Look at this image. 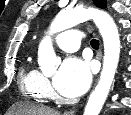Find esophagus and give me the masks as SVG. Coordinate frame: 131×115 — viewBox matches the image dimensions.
Listing matches in <instances>:
<instances>
[{
  "instance_id": "34e87169",
  "label": "esophagus",
  "mask_w": 131,
  "mask_h": 115,
  "mask_svg": "<svg viewBox=\"0 0 131 115\" xmlns=\"http://www.w3.org/2000/svg\"><path fill=\"white\" fill-rule=\"evenodd\" d=\"M101 57H102V52H101V49H100L98 54H97V58L101 59ZM75 112H76L75 110H70V111L66 112L65 115H74Z\"/></svg>"
}]
</instances>
